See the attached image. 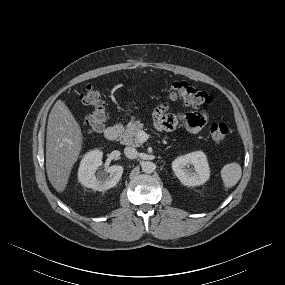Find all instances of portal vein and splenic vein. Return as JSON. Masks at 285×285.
<instances>
[{
	"instance_id": "1",
	"label": "portal vein and splenic vein",
	"mask_w": 285,
	"mask_h": 285,
	"mask_svg": "<svg viewBox=\"0 0 285 285\" xmlns=\"http://www.w3.org/2000/svg\"><path fill=\"white\" fill-rule=\"evenodd\" d=\"M148 137H149L148 134L145 133L144 131H139L137 135V138L141 143L145 142L148 139Z\"/></svg>"
}]
</instances>
